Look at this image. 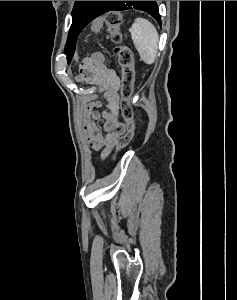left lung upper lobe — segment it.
I'll list each match as a JSON object with an SVG mask.
<instances>
[{
	"mask_svg": "<svg viewBox=\"0 0 237 300\" xmlns=\"http://www.w3.org/2000/svg\"><path fill=\"white\" fill-rule=\"evenodd\" d=\"M108 3L109 1H75L72 10V25L64 50L68 63H70L74 55L79 34L87 24L102 14L104 7ZM120 6L123 10L138 9L145 11L161 25L160 14L155 1H120Z\"/></svg>",
	"mask_w": 237,
	"mask_h": 300,
	"instance_id": "obj_1",
	"label": "left lung upper lobe"
}]
</instances>
